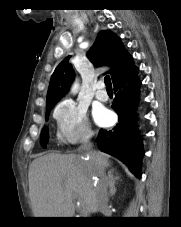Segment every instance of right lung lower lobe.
<instances>
[{"mask_svg":"<svg viewBox=\"0 0 181 227\" xmlns=\"http://www.w3.org/2000/svg\"><path fill=\"white\" fill-rule=\"evenodd\" d=\"M112 82L117 92L112 108L118 114L119 123L112 130L101 129L96 142L100 150L120 159L137 177H140L144 151L142 138L135 125L140 79L138 68L130 55L125 58Z\"/></svg>","mask_w":181,"mask_h":227,"instance_id":"right-lung-lower-lobe-1","label":"right lung lower lobe"}]
</instances>
